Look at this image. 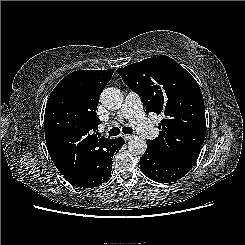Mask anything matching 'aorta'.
Here are the masks:
<instances>
[{
	"mask_svg": "<svg viewBox=\"0 0 245 245\" xmlns=\"http://www.w3.org/2000/svg\"><path fill=\"white\" fill-rule=\"evenodd\" d=\"M101 103L108 109H119L123 103V94L117 88H105L100 95ZM147 148L146 141L139 137H135L128 142V149L130 152L142 155Z\"/></svg>",
	"mask_w": 245,
	"mask_h": 245,
	"instance_id": "aorta-1",
	"label": "aorta"
}]
</instances>
